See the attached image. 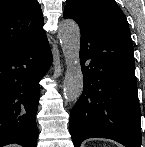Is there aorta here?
Masks as SVG:
<instances>
[{
  "instance_id": "obj_1",
  "label": "aorta",
  "mask_w": 145,
  "mask_h": 147,
  "mask_svg": "<svg viewBox=\"0 0 145 147\" xmlns=\"http://www.w3.org/2000/svg\"><path fill=\"white\" fill-rule=\"evenodd\" d=\"M58 38L64 54L66 72L63 83V95L66 101H76L83 91V74L80 64V29L70 19L59 24Z\"/></svg>"
}]
</instances>
